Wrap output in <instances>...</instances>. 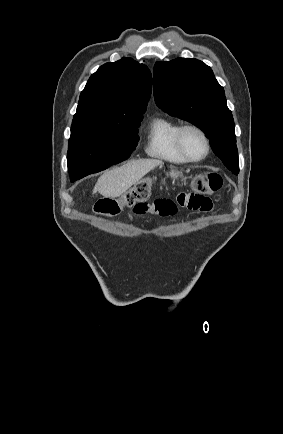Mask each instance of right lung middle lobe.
Segmentation results:
<instances>
[{
    "label": "right lung middle lobe",
    "mask_w": 283,
    "mask_h": 434,
    "mask_svg": "<svg viewBox=\"0 0 283 434\" xmlns=\"http://www.w3.org/2000/svg\"><path fill=\"white\" fill-rule=\"evenodd\" d=\"M142 119L72 123L67 154L71 182L128 159L139 141Z\"/></svg>",
    "instance_id": "right-lung-middle-lobe-1"
}]
</instances>
